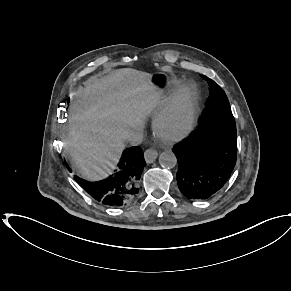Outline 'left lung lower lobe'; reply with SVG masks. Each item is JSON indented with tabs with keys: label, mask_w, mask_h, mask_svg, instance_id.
<instances>
[{
	"label": "left lung lower lobe",
	"mask_w": 291,
	"mask_h": 291,
	"mask_svg": "<svg viewBox=\"0 0 291 291\" xmlns=\"http://www.w3.org/2000/svg\"><path fill=\"white\" fill-rule=\"evenodd\" d=\"M177 157V183L188 199L214 196L228 181L237 158L236 131L206 127L197 129L173 148Z\"/></svg>",
	"instance_id": "obj_1"
}]
</instances>
